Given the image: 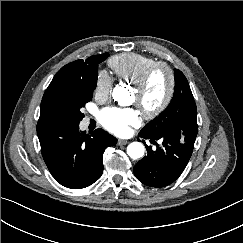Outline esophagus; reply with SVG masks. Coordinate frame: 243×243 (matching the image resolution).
Returning a JSON list of instances; mask_svg holds the SVG:
<instances>
[{
	"mask_svg": "<svg viewBox=\"0 0 243 243\" xmlns=\"http://www.w3.org/2000/svg\"><path fill=\"white\" fill-rule=\"evenodd\" d=\"M128 142H129V141H127V140L118 139L117 144H118V145H125V144H127Z\"/></svg>",
	"mask_w": 243,
	"mask_h": 243,
	"instance_id": "1",
	"label": "esophagus"
}]
</instances>
